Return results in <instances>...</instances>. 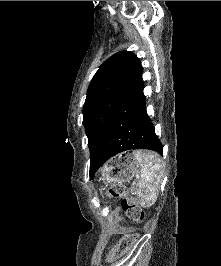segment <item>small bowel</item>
I'll use <instances>...</instances> for the list:
<instances>
[{
  "mask_svg": "<svg viewBox=\"0 0 221 266\" xmlns=\"http://www.w3.org/2000/svg\"><path fill=\"white\" fill-rule=\"evenodd\" d=\"M122 230H124V231H125V230H128V228L124 227V228H122Z\"/></svg>",
  "mask_w": 221,
  "mask_h": 266,
  "instance_id": "1",
  "label": "small bowel"
}]
</instances>
